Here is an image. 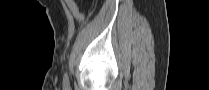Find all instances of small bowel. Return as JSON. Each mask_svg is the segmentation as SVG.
I'll use <instances>...</instances> for the list:
<instances>
[{"label":"small bowel","instance_id":"small-bowel-1","mask_svg":"<svg viewBox=\"0 0 209 90\" xmlns=\"http://www.w3.org/2000/svg\"><path fill=\"white\" fill-rule=\"evenodd\" d=\"M66 4H67L68 8L73 12V14L77 18V20H79V21H83L84 20V15L80 11V9H79V7H78V5L76 4L75 1H73V0H66Z\"/></svg>","mask_w":209,"mask_h":90}]
</instances>
